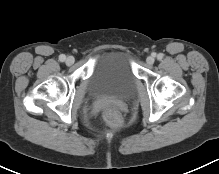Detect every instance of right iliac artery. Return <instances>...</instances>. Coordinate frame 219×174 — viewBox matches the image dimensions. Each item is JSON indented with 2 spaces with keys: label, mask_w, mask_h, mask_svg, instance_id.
Instances as JSON below:
<instances>
[{
  "label": "right iliac artery",
  "mask_w": 219,
  "mask_h": 174,
  "mask_svg": "<svg viewBox=\"0 0 219 174\" xmlns=\"http://www.w3.org/2000/svg\"><path fill=\"white\" fill-rule=\"evenodd\" d=\"M65 59H66V56H65V55L61 54V55L59 56V60H60L61 62L65 61Z\"/></svg>",
  "instance_id": "82829eb1"
}]
</instances>
